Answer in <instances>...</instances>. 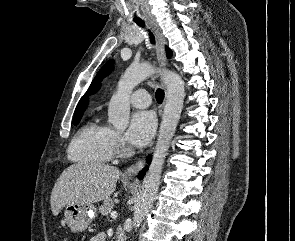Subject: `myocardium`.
I'll return each mask as SVG.
<instances>
[{"label":"myocardium","mask_w":295,"mask_h":241,"mask_svg":"<svg viewBox=\"0 0 295 241\" xmlns=\"http://www.w3.org/2000/svg\"><path fill=\"white\" fill-rule=\"evenodd\" d=\"M118 154L120 156H125L127 154V151L124 148H121L120 150H118Z\"/></svg>","instance_id":"1"}]
</instances>
